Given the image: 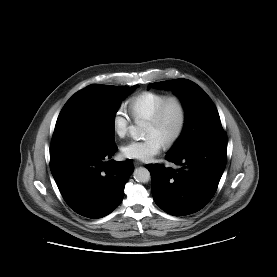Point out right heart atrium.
<instances>
[{
  "mask_svg": "<svg viewBox=\"0 0 277 277\" xmlns=\"http://www.w3.org/2000/svg\"><path fill=\"white\" fill-rule=\"evenodd\" d=\"M131 124L129 115L123 110L118 109L112 117V128L119 137H125L128 134Z\"/></svg>",
  "mask_w": 277,
  "mask_h": 277,
  "instance_id": "right-heart-atrium-1",
  "label": "right heart atrium"
}]
</instances>
